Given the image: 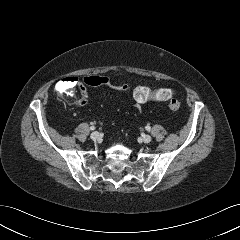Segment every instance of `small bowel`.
Here are the masks:
<instances>
[{
	"instance_id": "1",
	"label": "small bowel",
	"mask_w": 240,
	"mask_h": 240,
	"mask_svg": "<svg viewBox=\"0 0 240 240\" xmlns=\"http://www.w3.org/2000/svg\"><path fill=\"white\" fill-rule=\"evenodd\" d=\"M82 94H83V97H81V100H80L81 104H83L86 99L84 90H82ZM134 106L137 110H139V111L141 110V105L139 103L135 102Z\"/></svg>"
}]
</instances>
